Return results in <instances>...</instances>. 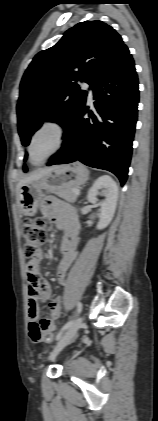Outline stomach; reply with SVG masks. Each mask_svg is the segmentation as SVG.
I'll use <instances>...</instances> for the list:
<instances>
[{
  "instance_id": "0dacf381",
  "label": "stomach",
  "mask_w": 158,
  "mask_h": 421,
  "mask_svg": "<svg viewBox=\"0 0 158 421\" xmlns=\"http://www.w3.org/2000/svg\"><path fill=\"white\" fill-rule=\"evenodd\" d=\"M89 171L80 162L56 166L41 178L21 186L18 203L23 215L34 216L43 196V191L55 192L75 188L88 180Z\"/></svg>"
}]
</instances>
